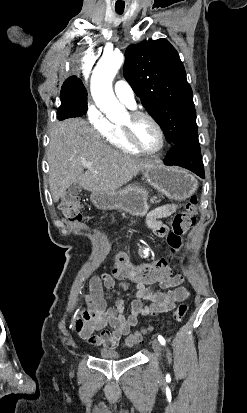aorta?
<instances>
[{"label":"aorta","instance_id":"1","mask_svg":"<svg viewBox=\"0 0 247 413\" xmlns=\"http://www.w3.org/2000/svg\"><path fill=\"white\" fill-rule=\"evenodd\" d=\"M123 62L124 55L120 52L104 53L91 77L92 97L109 119L121 117L124 110L112 90V81Z\"/></svg>","mask_w":247,"mask_h":413}]
</instances>
